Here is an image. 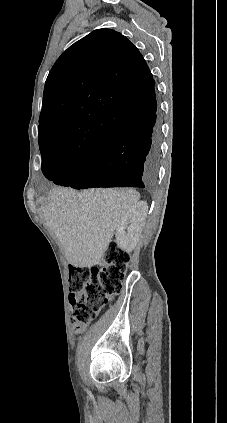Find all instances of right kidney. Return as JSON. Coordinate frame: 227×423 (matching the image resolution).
<instances>
[{"mask_svg":"<svg viewBox=\"0 0 227 423\" xmlns=\"http://www.w3.org/2000/svg\"><path fill=\"white\" fill-rule=\"evenodd\" d=\"M148 213L147 202H137L133 204L123 215L120 223L116 227V241L124 251H133L145 225Z\"/></svg>","mask_w":227,"mask_h":423,"instance_id":"1","label":"right kidney"}]
</instances>
